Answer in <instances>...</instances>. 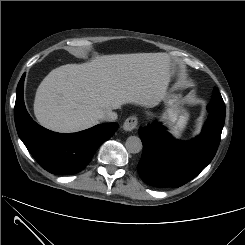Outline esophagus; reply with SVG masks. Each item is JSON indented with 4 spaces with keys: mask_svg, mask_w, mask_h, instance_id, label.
<instances>
[{
    "mask_svg": "<svg viewBox=\"0 0 245 245\" xmlns=\"http://www.w3.org/2000/svg\"><path fill=\"white\" fill-rule=\"evenodd\" d=\"M138 118L135 115L128 117L123 123V129L125 131H132L137 127Z\"/></svg>",
    "mask_w": 245,
    "mask_h": 245,
    "instance_id": "1",
    "label": "esophagus"
}]
</instances>
